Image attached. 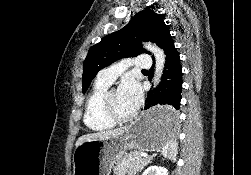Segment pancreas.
<instances>
[{
    "label": "pancreas",
    "mask_w": 251,
    "mask_h": 175,
    "mask_svg": "<svg viewBox=\"0 0 251 175\" xmlns=\"http://www.w3.org/2000/svg\"><path fill=\"white\" fill-rule=\"evenodd\" d=\"M147 163H149L148 157H143L141 151H129L124 157L118 159L113 169L114 175H124V173L136 175Z\"/></svg>",
    "instance_id": "obj_1"
}]
</instances>
